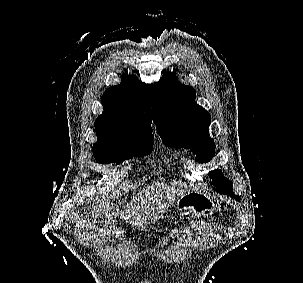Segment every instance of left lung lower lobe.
Returning a JSON list of instances; mask_svg holds the SVG:
<instances>
[{
  "label": "left lung lower lobe",
  "instance_id": "obj_1",
  "mask_svg": "<svg viewBox=\"0 0 303 283\" xmlns=\"http://www.w3.org/2000/svg\"><path fill=\"white\" fill-rule=\"evenodd\" d=\"M230 196H233V197H234V195H230ZM235 198H236V200H239V197H238V196H235Z\"/></svg>",
  "mask_w": 303,
  "mask_h": 283
}]
</instances>
